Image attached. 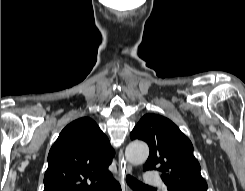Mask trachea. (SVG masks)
Segmentation results:
<instances>
[{
	"mask_svg": "<svg viewBox=\"0 0 245 191\" xmlns=\"http://www.w3.org/2000/svg\"><path fill=\"white\" fill-rule=\"evenodd\" d=\"M126 181L129 184V186L134 190H141V189H147L150 188L149 186L143 184L142 182H139L135 178H133L130 175H127Z\"/></svg>",
	"mask_w": 245,
	"mask_h": 191,
	"instance_id": "3493384b",
	"label": "trachea"
}]
</instances>
